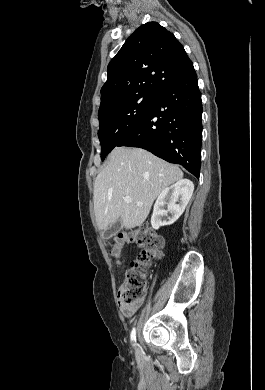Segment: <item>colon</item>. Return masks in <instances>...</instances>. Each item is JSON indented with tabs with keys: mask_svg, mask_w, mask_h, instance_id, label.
Listing matches in <instances>:
<instances>
[{
	"mask_svg": "<svg viewBox=\"0 0 265 390\" xmlns=\"http://www.w3.org/2000/svg\"><path fill=\"white\" fill-rule=\"evenodd\" d=\"M132 241L141 249V253L130 264L125 272L119 300L121 304L132 305L146 295L148 283L147 273L153 261L160 256L163 239L147 225L135 229L129 235L119 234L116 238L112 253L118 256L125 242Z\"/></svg>",
	"mask_w": 265,
	"mask_h": 390,
	"instance_id": "5ec220e1",
	"label": "colon"
}]
</instances>
